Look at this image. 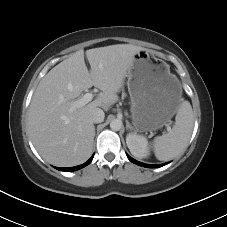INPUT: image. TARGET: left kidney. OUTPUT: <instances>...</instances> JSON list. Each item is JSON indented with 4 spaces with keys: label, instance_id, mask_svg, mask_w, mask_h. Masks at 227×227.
Listing matches in <instances>:
<instances>
[{
    "label": "left kidney",
    "instance_id": "left-kidney-1",
    "mask_svg": "<svg viewBox=\"0 0 227 227\" xmlns=\"http://www.w3.org/2000/svg\"><path fill=\"white\" fill-rule=\"evenodd\" d=\"M126 143L132 155L137 158H146L150 154L148 141L144 136L129 133Z\"/></svg>",
    "mask_w": 227,
    "mask_h": 227
}]
</instances>
